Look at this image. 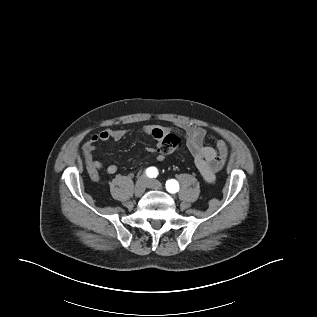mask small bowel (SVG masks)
<instances>
[{"label":"small bowel","mask_w":317,"mask_h":317,"mask_svg":"<svg viewBox=\"0 0 317 317\" xmlns=\"http://www.w3.org/2000/svg\"><path fill=\"white\" fill-rule=\"evenodd\" d=\"M176 127L183 133L186 139V148L194 159V163L199 173L206 182L212 183L216 179V173L220 171L228 156V145L224 140H218L215 147H208L204 145L206 137V131L203 127L188 124L178 123ZM142 133L150 135L157 139L159 142L167 135L168 129L159 128L157 126L148 125L142 130ZM128 132L121 129L106 128L94 134L83 145V155L85 164L90 177L93 180H98L101 175L103 164L94 158V152L99 142H105L108 140L120 141L127 136ZM148 154L154 155L158 161L164 159L158 149L147 148ZM118 171V167L115 164L108 165L105 168V173L113 175Z\"/></svg>","instance_id":"obj_1"}]
</instances>
